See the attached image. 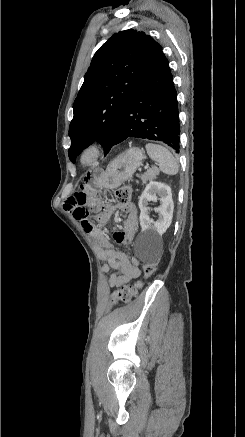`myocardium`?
<instances>
[{"mask_svg":"<svg viewBox=\"0 0 245 437\" xmlns=\"http://www.w3.org/2000/svg\"><path fill=\"white\" fill-rule=\"evenodd\" d=\"M102 155V145L97 142L86 145L79 154V161L84 166H91L97 162Z\"/></svg>","mask_w":245,"mask_h":437,"instance_id":"f54148a6","label":"myocardium"}]
</instances>
